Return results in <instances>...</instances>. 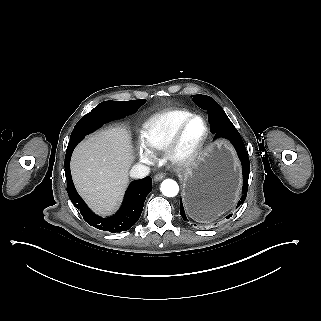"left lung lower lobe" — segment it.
<instances>
[{
    "label": "left lung lower lobe",
    "mask_w": 321,
    "mask_h": 321,
    "mask_svg": "<svg viewBox=\"0 0 321 321\" xmlns=\"http://www.w3.org/2000/svg\"><path fill=\"white\" fill-rule=\"evenodd\" d=\"M207 112L209 123L211 125V132L215 134L214 138L224 137L230 140L238 153L239 159L241 160L243 168V195L241 200L238 202V206H240L243 204L247 196L248 179L250 173V163L245 145L239 132L229 120L223 109L211 107L207 109ZM180 214L182 218L187 221L182 201H180ZM231 216L232 214L228 215L227 218H230Z\"/></svg>",
    "instance_id": "0a47b994"
}]
</instances>
